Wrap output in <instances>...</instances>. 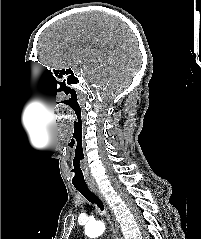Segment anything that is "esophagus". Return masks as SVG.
Masks as SVG:
<instances>
[{"label": "esophagus", "mask_w": 201, "mask_h": 239, "mask_svg": "<svg viewBox=\"0 0 201 239\" xmlns=\"http://www.w3.org/2000/svg\"><path fill=\"white\" fill-rule=\"evenodd\" d=\"M90 189L92 192H94L99 199L103 202L104 207H105V216L106 219L111 227V230L113 232V234L115 235L116 239H122L121 235H120V229H119V225L116 222L115 216L113 214V211L111 210L110 206L108 205V203L106 202L103 194L101 193L100 189L97 186H90Z\"/></svg>", "instance_id": "esophagus-1"}]
</instances>
